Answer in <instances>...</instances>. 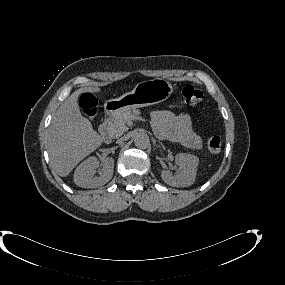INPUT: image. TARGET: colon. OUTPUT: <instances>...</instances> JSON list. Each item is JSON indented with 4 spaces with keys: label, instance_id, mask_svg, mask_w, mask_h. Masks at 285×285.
<instances>
[{
    "label": "colon",
    "instance_id": "1",
    "mask_svg": "<svg viewBox=\"0 0 285 285\" xmlns=\"http://www.w3.org/2000/svg\"><path fill=\"white\" fill-rule=\"evenodd\" d=\"M181 96L184 104L188 106H194L198 104L203 98L202 92L191 85H187L182 89ZM80 103L84 112L88 116H94V114L96 113V101L91 94L82 95ZM221 147L222 140L219 136H211L210 138H208L206 142V148L210 153H218L221 150Z\"/></svg>",
    "mask_w": 285,
    "mask_h": 285
}]
</instances>
